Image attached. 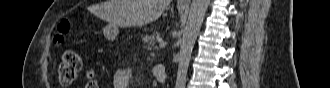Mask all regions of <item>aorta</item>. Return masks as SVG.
Wrapping results in <instances>:
<instances>
[{
    "instance_id": "1",
    "label": "aorta",
    "mask_w": 330,
    "mask_h": 88,
    "mask_svg": "<svg viewBox=\"0 0 330 88\" xmlns=\"http://www.w3.org/2000/svg\"><path fill=\"white\" fill-rule=\"evenodd\" d=\"M210 0H192L188 19L180 42V58L175 88H185L192 49L199 34Z\"/></svg>"
}]
</instances>
